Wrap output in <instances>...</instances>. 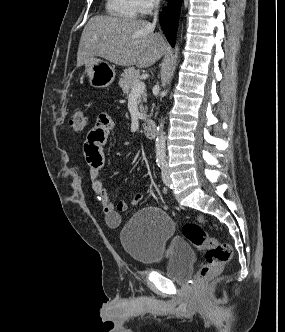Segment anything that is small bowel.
<instances>
[{"label":"small bowel","mask_w":285,"mask_h":332,"mask_svg":"<svg viewBox=\"0 0 285 332\" xmlns=\"http://www.w3.org/2000/svg\"><path fill=\"white\" fill-rule=\"evenodd\" d=\"M115 129L116 122L108 114L101 113L83 143V151L89 165L92 191L96 200L102 205L106 224L111 228H117L120 225L121 212L137 205L142 199V195H138L130 201L120 200L114 204L109 198L107 189L99 179L105 162L104 146Z\"/></svg>","instance_id":"1"}]
</instances>
